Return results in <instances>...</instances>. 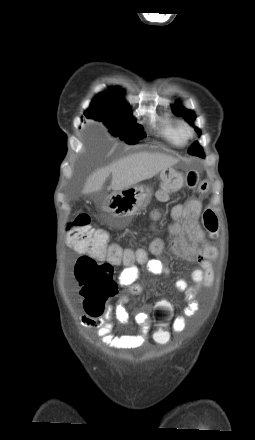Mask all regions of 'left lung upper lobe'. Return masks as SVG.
I'll return each instance as SVG.
<instances>
[{
  "instance_id": "5c2ea615",
  "label": "left lung upper lobe",
  "mask_w": 255,
  "mask_h": 440,
  "mask_svg": "<svg viewBox=\"0 0 255 440\" xmlns=\"http://www.w3.org/2000/svg\"><path fill=\"white\" fill-rule=\"evenodd\" d=\"M172 111L176 115H182L188 122H193L195 120V115L192 111L185 109L181 106H172ZM196 132L200 135V130L195 127ZM189 153L192 155L199 156L201 158H205L202 147L197 143H193L189 149Z\"/></svg>"
}]
</instances>
